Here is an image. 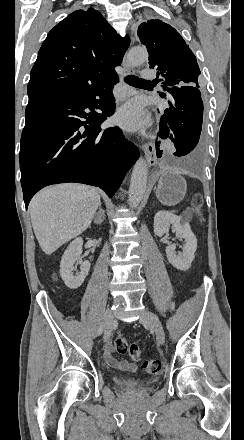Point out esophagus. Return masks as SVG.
Segmentation results:
<instances>
[{
    "label": "esophagus",
    "mask_w": 244,
    "mask_h": 440,
    "mask_svg": "<svg viewBox=\"0 0 244 440\" xmlns=\"http://www.w3.org/2000/svg\"><path fill=\"white\" fill-rule=\"evenodd\" d=\"M134 40H135V38L132 37V42H134ZM122 68H123V76L124 77L134 73V71L132 70V68L128 64V54L127 53L124 55V58L122 61ZM141 148L144 152L147 164L149 166L155 165L157 158L155 155V146H154L153 142H148V143L142 144Z\"/></svg>",
    "instance_id": "1"
}]
</instances>
